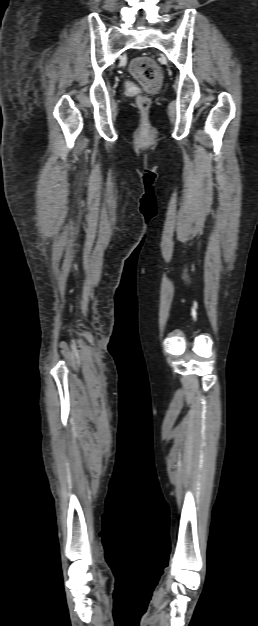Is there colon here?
Here are the masks:
<instances>
[{
  "instance_id": "5ec220e1",
  "label": "colon",
  "mask_w": 258,
  "mask_h": 626,
  "mask_svg": "<svg viewBox=\"0 0 258 626\" xmlns=\"http://www.w3.org/2000/svg\"><path fill=\"white\" fill-rule=\"evenodd\" d=\"M132 76L141 84L146 93L156 92L162 83V73L153 59L147 56L135 58L130 65ZM138 108L142 113H147L151 106V100L147 95H140L137 98ZM147 127L146 122L142 128Z\"/></svg>"
}]
</instances>
